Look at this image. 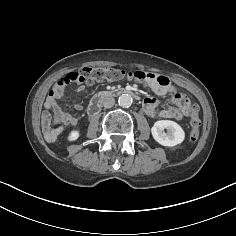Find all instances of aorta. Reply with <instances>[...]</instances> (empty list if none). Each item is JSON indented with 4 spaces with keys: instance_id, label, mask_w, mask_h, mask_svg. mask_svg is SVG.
I'll list each match as a JSON object with an SVG mask.
<instances>
[{
    "instance_id": "1",
    "label": "aorta",
    "mask_w": 236,
    "mask_h": 236,
    "mask_svg": "<svg viewBox=\"0 0 236 236\" xmlns=\"http://www.w3.org/2000/svg\"><path fill=\"white\" fill-rule=\"evenodd\" d=\"M118 104L123 108H128L132 104V97L128 94H122L118 98Z\"/></svg>"
}]
</instances>
